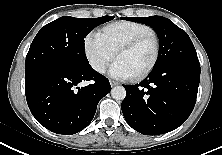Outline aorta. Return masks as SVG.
Wrapping results in <instances>:
<instances>
[{
    "label": "aorta",
    "mask_w": 222,
    "mask_h": 155,
    "mask_svg": "<svg viewBox=\"0 0 222 155\" xmlns=\"http://www.w3.org/2000/svg\"><path fill=\"white\" fill-rule=\"evenodd\" d=\"M111 96L115 100H123L126 97V90L122 86H116L111 90Z\"/></svg>",
    "instance_id": "1"
}]
</instances>
